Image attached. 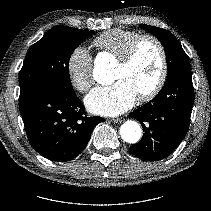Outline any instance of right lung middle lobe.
<instances>
[{
	"label": "right lung middle lobe",
	"instance_id": "dd1d6c3e",
	"mask_svg": "<svg viewBox=\"0 0 211 211\" xmlns=\"http://www.w3.org/2000/svg\"><path fill=\"white\" fill-rule=\"evenodd\" d=\"M93 33L94 31L68 26L50 29L28 50L19 73L20 94L41 85H51L66 92H73L69 59L73 51Z\"/></svg>",
	"mask_w": 211,
	"mask_h": 211
}]
</instances>
